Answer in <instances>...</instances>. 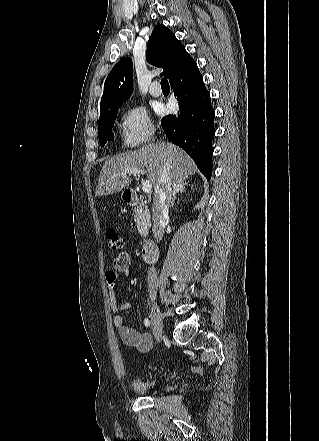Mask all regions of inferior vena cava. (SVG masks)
Masks as SVG:
<instances>
[{"label": "inferior vena cava", "mask_w": 319, "mask_h": 441, "mask_svg": "<svg viewBox=\"0 0 319 441\" xmlns=\"http://www.w3.org/2000/svg\"><path fill=\"white\" fill-rule=\"evenodd\" d=\"M169 149V147H167ZM162 185L159 189L155 191V199L152 208V219H153V235L157 241L161 240L164 234V226L168 220L169 213V203L172 197V186L169 177V164L166 162L164 167V175L162 179ZM176 185H174L175 187ZM148 291L150 296H155L157 294V275L154 267L148 270Z\"/></svg>", "instance_id": "inferior-vena-cava-1"}]
</instances>
